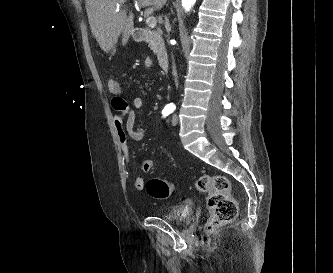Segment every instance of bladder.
<instances>
[{"label": "bladder", "instance_id": "31cf9c89", "mask_svg": "<svg viewBox=\"0 0 333 273\" xmlns=\"http://www.w3.org/2000/svg\"><path fill=\"white\" fill-rule=\"evenodd\" d=\"M193 207L188 202H180L167 208L164 218L170 222L183 223L191 219Z\"/></svg>", "mask_w": 333, "mask_h": 273}]
</instances>
